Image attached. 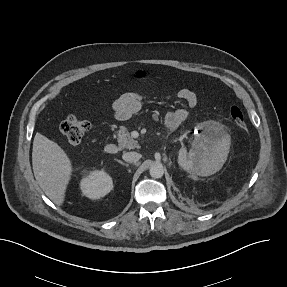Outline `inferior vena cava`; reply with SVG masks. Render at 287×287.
Instances as JSON below:
<instances>
[{
  "label": "inferior vena cava",
  "mask_w": 287,
  "mask_h": 287,
  "mask_svg": "<svg viewBox=\"0 0 287 287\" xmlns=\"http://www.w3.org/2000/svg\"><path fill=\"white\" fill-rule=\"evenodd\" d=\"M124 161L129 163H136L141 158V155L137 152H126L122 155Z\"/></svg>",
  "instance_id": "602c4592"
}]
</instances>
